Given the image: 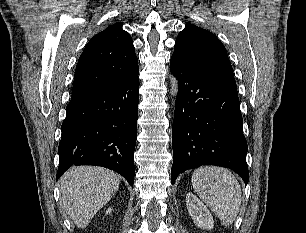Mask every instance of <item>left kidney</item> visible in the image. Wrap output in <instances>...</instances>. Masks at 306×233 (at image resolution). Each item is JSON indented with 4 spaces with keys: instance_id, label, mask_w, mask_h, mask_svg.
Listing matches in <instances>:
<instances>
[{
    "instance_id": "1",
    "label": "left kidney",
    "mask_w": 306,
    "mask_h": 233,
    "mask_svg": "<svg viewBox=\"0 0 306 233\" xmlns=\"http://www.w3.org/2000/svg\"><path fill=\"white\" fill-rule=\"evenodd\" d=\"M186 206L195 224L202 228L211 230L214 220L207 207L191 192L186 194Z\"/></svg>"
}]
</instances>
